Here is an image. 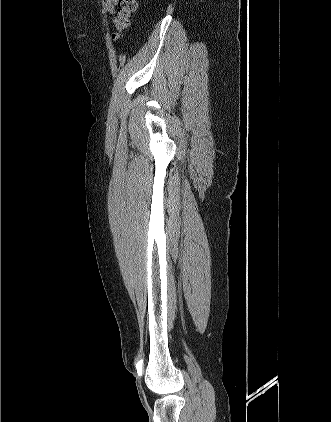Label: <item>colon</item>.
<instances>
[{
	"label": "colon",
	"mask_w": 331,
	"mask_h": 422,
	"mask_svg": "<svg viewBox=\"0 0 331 422\" xmlns=\"http://www.w3.org/2000/svg\"><path fill=\"white\" fill-rule=\"evenodd\" d=\"M137 9V0H119L118 12L115 17L114 40L122 37V32L130 26L131 19Z\"/></svg>",
	"instance_id": "obj_1"
}]
</instances>
